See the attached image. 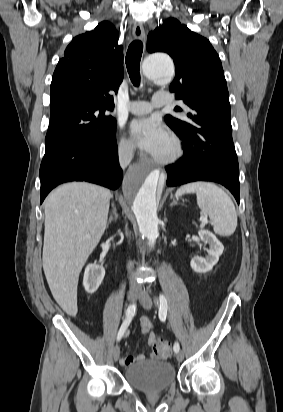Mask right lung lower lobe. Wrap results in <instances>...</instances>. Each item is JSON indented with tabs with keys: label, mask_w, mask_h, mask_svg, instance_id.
<instances>
[{
	"label": "right lung lower lobe",
	"mask_w": 283,
	"mask_h": 412,
	"mask_svg": "<svg viewBox=\"0 0 283 412\" xmlns=\"http://www.w3.org/2000/svg\"><path fill=\"white\" fill-rule=\"evenodd\" d=\"M122 175L115 133L97 141L64 140L45 150L40 166V202L54 187L69 181H88L117 189Z\"/></svg>",
	"instance_id": "right-lung-lower-lobe-1"
}]
</instances>
